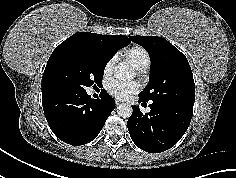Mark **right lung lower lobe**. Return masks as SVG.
<instances>
[{
	"instance_id": "obj_1",
	"label": "right lung lower lobe",
	"mask_w": 236,
	"mask_h": 178,
	"mask_svg": "<svg viewBox=\"0 0 236 178\" xmlns=\"http://www.w3.org/2000/svg\"><path fill=\"white\" fill-rule=\"evenodd\" d=\"M46 120L52 132L70 145H84L97 137L115 109L114 99L104 91L100 99L85 92L42 94Z\"/></svg>"
}]
</instances>
